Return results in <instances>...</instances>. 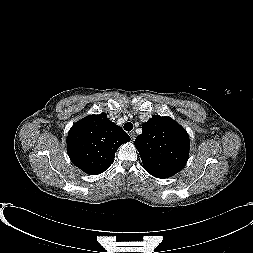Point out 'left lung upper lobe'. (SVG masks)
<instances>
[{
  "label": "left lung upper lobe",
  "instance_id": "obj_1",
  "mask_svg": "<svg viewBox=\"0 0 253 253\" xmlns=\"http://www.w3.org/2000/svg\"><path fill=\"white\" fill-rule=\"evenodd\" d=\"M144 168L156 178H167L186 165L189 136L170 117L153 116L142 125V134L135 140Z\"/></svg>",
  "mask_w": 253,
  "mask_h": 253
}]
</instances>
